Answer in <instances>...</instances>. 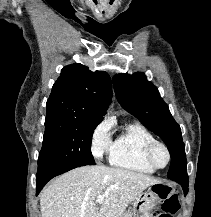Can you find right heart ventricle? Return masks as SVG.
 <instances>
[{"label":"right heart ventricle","instance_id":"e07e8e85","mask_svg":"<svg viewBox=\"0 0 211 217\" xmlns=\"http://www.w3.org/2000/svg\"><path fill=\"white\" fill-rule=\"evenodd\" d=\"M155 137L138 123L129 124L114 140L110 152V163L136 172L152 174L155 169L146 161V147Z\"/></svg>","mask_w":211,"mask_h":217}]
</instances>
